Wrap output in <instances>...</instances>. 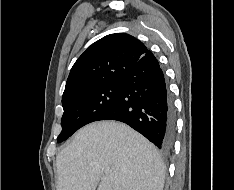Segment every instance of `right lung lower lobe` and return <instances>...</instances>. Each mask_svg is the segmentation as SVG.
Segmentation results:
<instances>
[{
    "label": "right lung lower lobe",
    "instance_id": "obj_1",
    "mask_svg": "<svg viewBox=\"0 0 234 190\" xmlns=\"http://www.w3.org/2000/svg\"><path fill=\"white\" fill-rule=\"evenodd\" d=\"M113 106L99 120H117L144 135L163 151L175 136V113L163 71L148 51L123 75Z\"/></svg>",
    "mask_w": 234,
    "mask_h": 190
}]
</instances>
